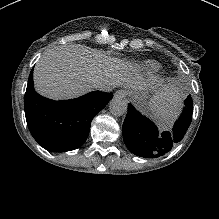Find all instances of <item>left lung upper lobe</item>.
I'll return each mask as SVG.
<instances>
[{"instance_id": "left-lung-upper-lobe-1", "label": "left lung upper lobe", "mask_w": 219, "mask_h": 219, "mask_svg": "<svg viewBox=\"0 0 219 219\" xmlns=\"http://www.w3.org/2000/svg\"><path fill=\"white\" fill-rule=\"evenodd\" d=\"M188 105L191 107L193 106L191 96H188L187 99L185 100V106H188Z\"/></svg>"}]
</instances>
